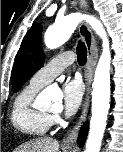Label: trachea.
<instances>
[{
    "label": "trachea",
    "instance_id": "trachea-1",
    "mask_svg": "<svg viewBox=\"0 0 123 152\" xmlns=\"http://www.w3.org/2000/svg\"><path fill=\"white\" fill-rule=\"evenodd\" d=\"M77 60L79 65L83 66L87 60V49L83 42H79L77 45Z\"/></svg>",
    "mask_w": 123,
    "mask_h": 152
}]
</instances>
